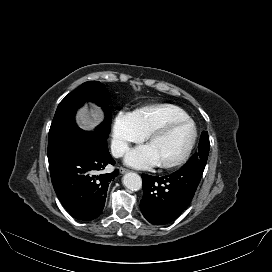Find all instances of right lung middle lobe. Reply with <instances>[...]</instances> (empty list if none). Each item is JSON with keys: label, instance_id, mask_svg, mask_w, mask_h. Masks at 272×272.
Instances as JSON below:
<instances>
[{"label": "right lung middle lobe", "instance_id": "right-lung-middle-lobe-1", "mask_svg": "<svg viewBox=\"0 0 272 272\" xmlns=\"http://www.w3.org/2000/svg\"><path fill=\"white\" fill-rule=\"evenodd\" d=\"M86 101L94 102L103 108L106 116L105 120L94 132L107 137L112 121V115L108 107V91L98 81L85 82L69 93L58 105L49 131L48 159L63 149L72 137L81 130L77 127L74 117L76 110Z\"/></svg>", "mask_w": 272, "mask_h": 272}]
</instances>
